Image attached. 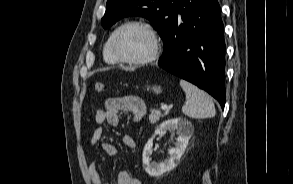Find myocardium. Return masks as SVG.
Wrapping results in <instances>:
<instances>
[{
  "mask_svg": "<svg viewBox=\"0 0 293 184\" xmlns=\"http://www.w3.org/2000/svg\"><path fill=\"white\" fill-rule=\"evenodd\" d=\"M132 26L141 27V28L145 29L152 39L151 52L148 55H146L145 57L137 58V59L125 58L122 55H120L119 52L117 51L116 40H117L118 35L124 29H126L128 27H132ZM110 49H111V52H112L114 58L118 62L130 64V65H144V64H148V63L155 61L159 57L161 50H162V43H161V40H160V37L158 35L157 30L151 24H149L145 21L132 20V21H128V22L122 24L114 31V33L111 37V41H110Z\"/></svg>",
  "mask_w": 293,
  "mask_h": 184,
  "instance_id": "myocardium-1",
  "label": "myocardium"
}]
</instances>
